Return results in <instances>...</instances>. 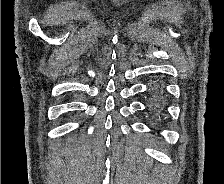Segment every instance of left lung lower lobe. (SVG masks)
<instances>
[{"instance_id": "obj_1", "label": "left lung lower lobe", "mask_w": 224, "mask_h": 184, "mask_svg": "<svg viewBox=\"0 0 224 184\" xmlns=\"http://www.w3.org/2000/svg\"><path fill=\"white\" fill-rule=\"evenodd\" d=\"M152 94H153V112L156 114H159L161 116V114L163 113V111L161 110L162 106H163V91L161 90V87L159 84L153 86V90H152Z\"/></svg>"}]
</instances>
